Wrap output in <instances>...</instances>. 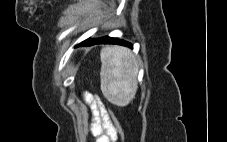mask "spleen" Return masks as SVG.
<instances>
[{
	"instance_id": "3e777b00",
	"label": "spleen",
	"mask_w": 227,
	"mask_h": 142,
	"mask_svg": "<svg viewBox=\"0 0 227 142\" xmlns=\"http://www.w3.org/2000/svg\"><path fill=\"white\" fill-rule=\"evenodd\" d=\"M101 90L117 106L128 105L135 97L138 84V62L132 52L120 46L101 50Z\"/></svg>"
}]
</instances>
